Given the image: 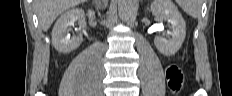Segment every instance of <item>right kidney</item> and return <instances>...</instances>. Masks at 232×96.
<instances>
[{
  "mask_svg": "<svg viewBox=\"0 0 232 96\" xmlns=\"http://www.w3.org/2000/svg\"><path fill=\"white\" fill-rule=\"evenodd\" d=\"M84 15V10L77 8L68 10L59 17L52 30V44L57 51L69 53L79 47L82 42V36L79 35L70 39L66 33L69 27L74 25L75 21L82 20ZM88 17L91 21L94 20V11L88 10Z\"/></svg>",
  "mask_w": 232,
  "mask_h": 96,
  "instance_id": "ca27d5eb",
  "label": "right kidney"
}]
</instances>
